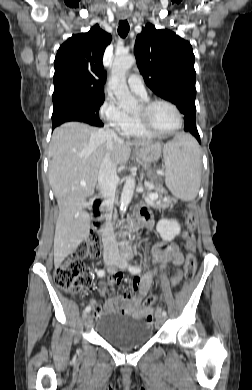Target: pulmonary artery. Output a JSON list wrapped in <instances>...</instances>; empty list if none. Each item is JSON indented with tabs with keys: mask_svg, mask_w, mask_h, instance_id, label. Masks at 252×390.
Listing matches in <instances>:
<instances>
[{
	"mask_svg": "<svg viewBox=\"0 0 252 390\" xmlns=\"http://www.w3.org/2000/svg\"><path fill=\"white\" fill-rule=\"evenodd\" d=\"M128 86L130 90L135 93L136 95L146 98V90L143 84V80L139 75L132 74L128 77L127 80Z\"/></svg>",
	"mask_w": 252,
	"mask_h": 390,
	"instance_id": "1",
	"label": "pulmonary artery"
}]
</instances>
